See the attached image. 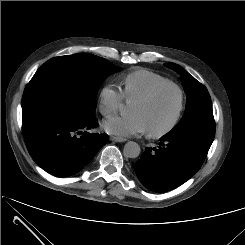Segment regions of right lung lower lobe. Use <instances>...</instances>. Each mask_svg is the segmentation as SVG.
Here are the masks:
<instances>
[{
    "label": "right lung lower lobe",
    "mask_w": 245,
    "mask_h": 245,
    "mask_svg": "<svg viewBox=\"0 0 245 245\" xmlns=\"http://www.w3.org/2000/svg\"><path fill=\"white\" fill-rule=\"evenodd\" d=\"M97 126L95 117L84 122L58 119L23 129V135L31 157L42 169L67 177L79 172L106 144L107 134L87 132Z\"/></svg>",
    "instance_id": "1"
}]
</instances>
